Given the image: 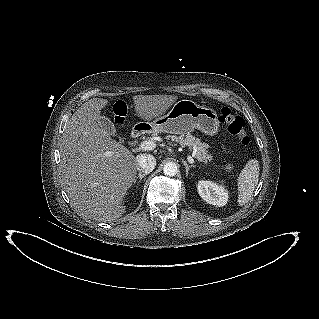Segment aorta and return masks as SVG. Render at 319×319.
<instances>
[{
	"mask_svg": "<svg viewBox=\"0 0 319 319\" xmlns=\"http://www.w3.org/2000/svg\"><path fill=\"white\" fill-rule=\"evenodd\" d=\"M163 172L166 176H175L177 174V165L175 163H166L163 167Z\"/></svg>",
	"mask_w": 319,
	"mask_h": 319,
	"instance_id": "1",
	"label": "aorta"
}]
</instances>
